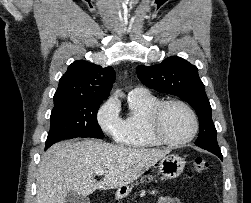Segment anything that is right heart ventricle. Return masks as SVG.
Wrapping results in <instances>:
<instances>
[{
	"instance_id": "e07e8e85",
	"label": "right heart ventricle",
	"mask_w": 251,
	"mask_h": 203,
	"mask_svg": "<svg viewBox=\"0 0 251 203\" xmlns=\"http://www.w3.org/2000/svg\"><path fill=\"white\" fill-rule=\"evenodd\" d=\"M130 112L123 120L122 128L115 136L116 141L124 147L146 149L160 145L147 130V116L150 109L159 102V99L148 94L147 96H129Z\"/></svg>"
}]
</instances>
